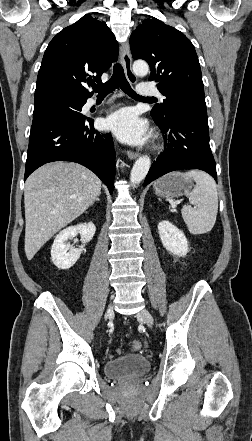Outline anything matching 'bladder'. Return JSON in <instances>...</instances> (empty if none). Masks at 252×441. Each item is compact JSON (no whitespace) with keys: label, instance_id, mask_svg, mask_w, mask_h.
<instances>
[{"label":"bladder","instance_id":"obj_1","mask_svg":"<svg viewBox=\"0 0 252 441\" xmlns=\"http://www.w3.org/2000/svg\"><path fill=\"white\" fill-rule=\"evenodd\" d=\"M150 366V361L146 357L130 354L107 361L104 372L113 379L138 378L148 373Z\"/></svg>","mask_w":252,"mask_h":441}]
</instances>
